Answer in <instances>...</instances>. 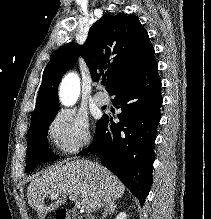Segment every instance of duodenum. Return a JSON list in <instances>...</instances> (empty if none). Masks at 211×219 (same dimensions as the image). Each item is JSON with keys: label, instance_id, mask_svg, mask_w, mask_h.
I'll return each mask as SVG.
<instances>
[{"label": "duodenum", "instance_id": "obj_1", "mask_svg": "<svg viewBox=\"0 0 211 219\" xmlns=\"http://www.w3.org/2000/svg\"><path fill=\"white\" fill-rule=\"evenodd\" d=\"M70 213V218L69 219H90V218H83L78 215H76L74 212L68 211Z\"/></svg>", "mask_w": 211, "mask_h": 219}]
</instances>
